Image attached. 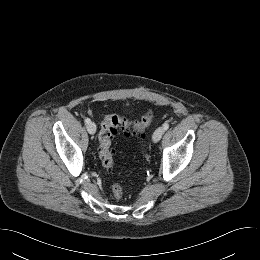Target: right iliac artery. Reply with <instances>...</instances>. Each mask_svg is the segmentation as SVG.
<instances>
[{
  "label": "right iliac artery",
  "instance_id": "82829eb1",
  "mask_svg": "<svg viewBox=\"0 0 260 260\" xmlns=\"http://www.w3.org/2000/svg\"><path fill=\"white\" fill-rule=\"evenodd\" d=\"M90 122V119L89 118H86L85 119V123L88 124Z\"/></svg>",
  "mask_w": 260,
  "mask_h": 260
}]
</instances>
